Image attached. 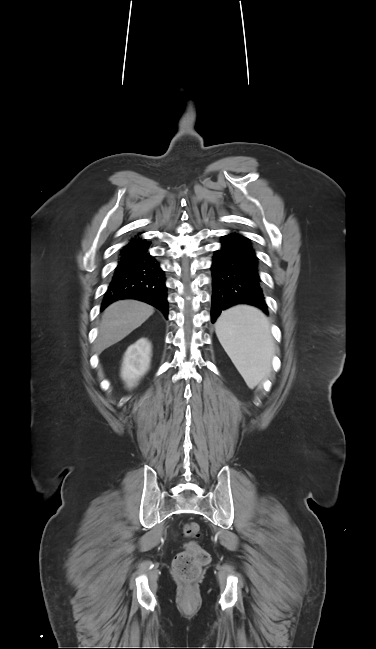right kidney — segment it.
Returning <instances> with one entry per match:
<instances>
[{
	"label": "right kidney",
	"mask_w": 376,
	"mask_h": 649,
	"mask_svg": "<svg viewBox=\"0 0 376 649\" xmlns=\"http://www.w3.org/2000/svg\"><path fill=\"white\" fill-rule=\"evenodd\" d=\"M151 344L146 338L139 339L126 350L123 357L121 377L128 388H133L148 371L150 365Z\"/></svg>",
	"instance_id": "1"
}]
</instances>
